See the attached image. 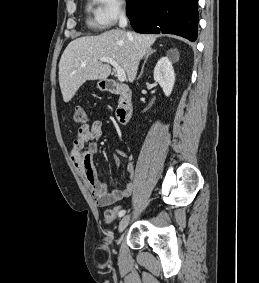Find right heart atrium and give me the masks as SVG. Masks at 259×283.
<instances>
[{
    "instance_id": "right-heart-atrium-1",
    "label": "right heart atrium",
    "mask_w": 259,
    "mask_h": 283,
    "mask_svg": "<svg viewBox=\"0 0 259 283\" xmlns=\"http://www.w3.org/2000/svg\"><path fill=\"white\" fill-rule=\"evenodd\" d=\"M96 6L95 17L103 28L113 27L128 12L127 0H93Z\"/></svg>"
}]
</instances>
